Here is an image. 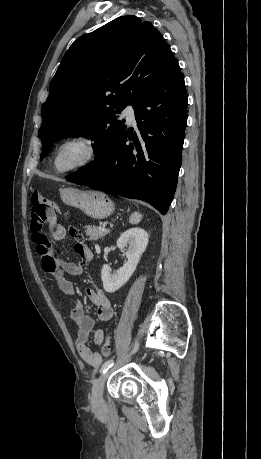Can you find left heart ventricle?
<instances>
[{"mask_svg":"<svg viewBox=\"0 0 261 459\" xmlns=\"http://www.w3.org/2000/svg\"><path fill=\"white\" fill-rule=\"evenodd\" d=\"M81 155L82 149L79 146L70 145L59 153L55 161L56 166L58 168H66L78 161Z\"/></svg>","mask_w":261,"mask_h":459,"instance_id":"b2bd125f","label":"left heart ventricle"}]
</instances>
